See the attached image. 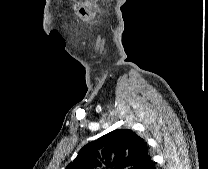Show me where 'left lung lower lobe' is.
<instances>
[{"mask_svg":"<svg viewBox=\"0 0 208 169\" xmlns=\"http://www.w3.org/2000/svg\"><path fill=\"white\" fill-rule=\"evenodd\" d=\"M142 169H155L154 162L152 161L150 155L146 158V161L142 167Z\"/></svg>","mask_w":208,"mask_h":169,"instance_id":"1","label":"left lung lower lobe"}]
</instances>
